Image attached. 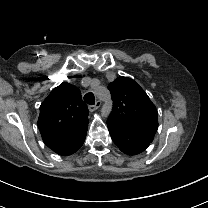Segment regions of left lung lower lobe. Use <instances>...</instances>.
Returning <instances> with one entry per match:
<instances>
[{"label": "left lung lower lobe", "instance_id": "1", "mask_svg": "<svg viewBox=\"0 0 208 208\" xmlns=\"http://www.w3.org/2000/svg\"><path fill=\"white\" fill-rule=\"evenodd\" d=\"M107 126L115 145L127 155H137L150 145V142L134 128L112 121H107Z\"/></svg>", "mask_w": 208, "mask_h": 208}]
</instances>
